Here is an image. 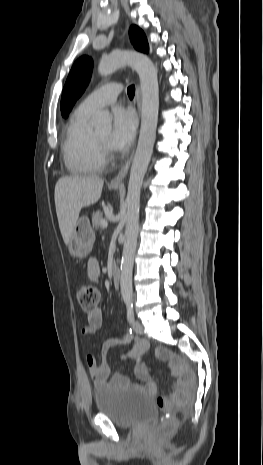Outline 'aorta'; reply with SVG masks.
Segmentation results:
<instances>
[{
    "label": "aorta",
    "mask_w": 263,
    "mask_h": 465,
    "mask_svg": "<svg viewBox=\"0 0 263 465\" xmlns=\"http://www.w3.org/2000/svg\"><path fill=\"white\" fill-rule=\"evenodd\" d=\"M129 65L139 75L142 113L141 128L137 149L132 162L126 197V229L121 261V295L125 303L132 302V271L139 231L140 194L156 138L159 110V86L157 70L149 57L134 51H115L102 59L98 72L107 76L122 66ZM96 131L104 132L111 128L108 112H98L92 120Z\"/></svg>",
    "instance_id": "aorta-1"
}]
</instances>
